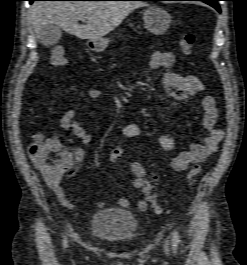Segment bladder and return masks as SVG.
<instances>
[{
    "label": "bladder",
    "instance_id": "obj_1",
    "mask_svg": "<svg viewBox=\"0 0 247 265\" xmlns=\"http://www.w3.org/2000/svg\"><path fill=\"white\" fill-rule=\"evenodd\" d=\"M90 233L115 242H128L136 238L138 223L133 213L123 208H104L92 214Z\"/></svg>",
    "mask_w": 247,
    "mask_h": 265
}]
</instances>
